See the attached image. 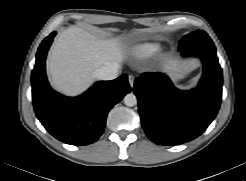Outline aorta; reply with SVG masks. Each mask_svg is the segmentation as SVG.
I'll list each match as a JSON object with an SVG mask.
<instances>
[{"label":"aorta","instance_id":"obj_1","mask_svg":"<svg viewBox=\"0 0 246 181\" xmlns=\"http://www.w3.org/2000/svg\"><path fill=\"white\" fill-rule=\"evenodd\" d=\"M123 101L126 106L133 107L137 104V97L133 93H129L124 97Z\"/></svg>","mask_w":246,"mask_h":181}]
</instances>
